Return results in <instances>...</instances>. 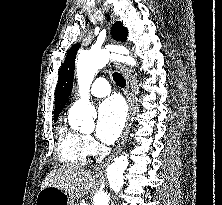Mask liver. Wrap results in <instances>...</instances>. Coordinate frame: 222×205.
<instances>
[{"instance_id": "liver-1", "label": "liver", "mask_w": 222, "mask_h": 205, "mask_svg": "<svg viewBox=\"0 0 222 205\" xmlns=\"http://www.w3.org/2000/svg\"><path fill=\"white\" fill-rule=\"evenodd\" d=\"M94 184L92 172L78 166H67L51 171L45 178L41 188L57 187L68 194L70 198H79L87 194Z\"/></svg>"}]
</instances>
